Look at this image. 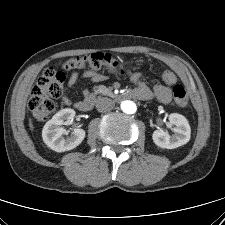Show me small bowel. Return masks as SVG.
<instances>
[{
    "instance_id": "obj_1",
    "label": "small bowel",
    "mask_w": 225,
    "mask_h": 225,
    "mask_svg": "<svg viewBox=\"0 0 225 225\" xmlns=\"http://www.w3.org/2000/svg\"><path fill=\"white\" fill-rule=\"evenodd\" d=\"M80 78L93 82H100L105 80L106 76L103 73L93 70H86L81 74L73 71L69 77L62 96V101L64 104H73L71 98L68 95V90L71 89L79 81ZM131 80L135 84V88L130 92V96L142 100L156 98L161 103H168L171 100V90L167 85L157 84L153 89H151L143 82L140 73L133 74Z\"/></svg>"
}]
</instances>
